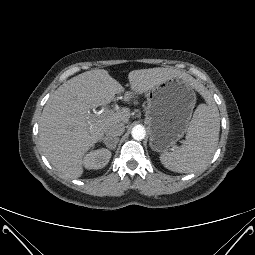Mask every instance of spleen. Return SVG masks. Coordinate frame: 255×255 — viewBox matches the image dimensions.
I'll return each mask as SVG.
<instances>
[{
  "label": "spleen",
  "instance_id": "1",
  "mask_svg": "<svg viewBox=\"0 0 255 255\" xmlns=\"http://www.w3.org/2000/svg\"><path fill=\"white\" fill-rule=\"evenodd\" d=\"M200 104L190 121L183 144L160 155L161 163L178 173H193L205 168L213 158L219 141V111L210 98Z\"/></svg>",
  "mask_w": 255,
  "mask_h": 255
}]
</instances>
